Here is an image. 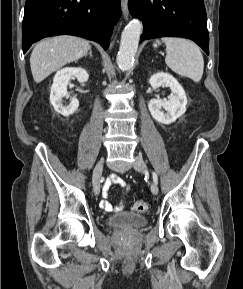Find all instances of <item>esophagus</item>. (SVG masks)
<instances>
[{"instance_id": "obj_1", "label": "esophagus", "mask_w": 243, "mask_h": 289, "mask_svg": "<svg viewBox=\"0 0 243 289\" xmlns=\"http://www.w3.org/2000/svg\"><path fill=\"white\" fill-rule=\"evenodd\" d=\"M122 10L124 17L127 18L128 17L127 0H122Z\"/></svg>"}]
</instances>
